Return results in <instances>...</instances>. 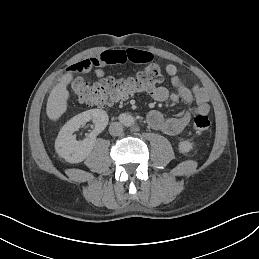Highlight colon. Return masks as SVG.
<instances>
[{"mask_svg":"<svg viewBox=\"0 0 259 259\" xmlns=\"http://www.w3.org/2000/svg\"><path fill=\"white\" fill-rule=\"evenodd\" d=\"M161 81L160 66L157 63H151L132 77H108L95 83L75 77L70 81L69 86L78 101L90 106L106 107L131 96L149 92ZM210 126L211 121L208 116L199 114L194 118L192 130L201 133L208 130Z\"/></svg>","mask_w":259,"mask_h":259,"instance_id":"5ec220e1","label":"colon"}]
</instances>
